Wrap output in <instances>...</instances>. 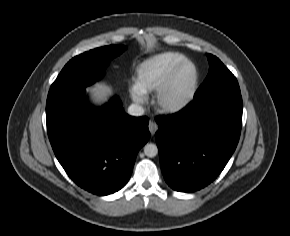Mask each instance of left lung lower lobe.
<instances>
[{"label":"left lung lower lobe","mask_w":290,"mask_h":236,"mask_svg":"<svg viewBox=\"0 0 290 236\" xmlns=\"http://www.w3.org/2000/svg\"><path fill=\"white\" fill-rule=\"evenodd\" d=\"M242 110L234 82L195 95L183 110L156 118L161 170L172 189L194 192L215 180L238 144Z\"/></svg>","instance_id":"1"}]
</instances>
